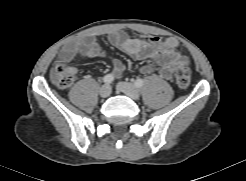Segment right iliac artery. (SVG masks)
Instances as JSON below:
<instances>
[{
  "instance_id": "82829eb1",
  "label": "right iliac artery",
  "mask_w": 246,
  "mask_h": 181,
  "mask_svg": "<svg viewBox=\"0 0 246 181\" xmlns=\"http://www.w3.org/2000/svg\"><path fill=\"white\" fill-rule=\"evenodd\" d=\"M113 80H114V77L112 74H107L103 77V82L107 84L111 83Z\"/></svg>"
}]
</instances>
